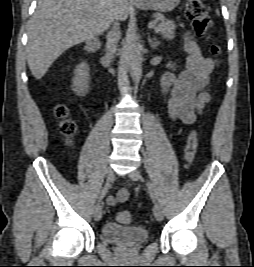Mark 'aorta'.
<instances>
[{
	"label": "aorta",
	"mask_w": 254,
	"mask_h": 267,
	"mask_svg": "<svg viewBox=\"0 0 254 267\" xmlns=\"http://www.w3.org/2000/svg\"><path fill=\"white\" fill-rule=\"evenodd\" d=\"M127 60L131 78L136 81L142 73L141 45L135 31L129 33Z\"/></svg>",
	"instance_id": "aorta-1"
}]
</instances>
